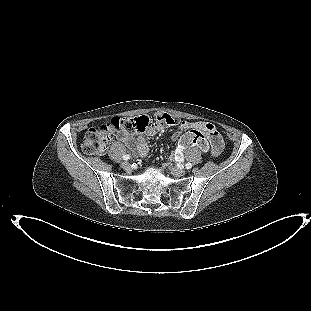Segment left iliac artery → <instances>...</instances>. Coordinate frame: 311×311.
<instances>
[{
    "label": "left iliac artery",
    "mask_w": 311,
    "mask_h": 311,
    "mask_svg": "<svg viewBox=\"0 0 311 311\" xmlns=\"http://www.w3.org/2000/svg\"><path fill=\"white\" fill-rule=\"evenodd\" d=\"M185 167H186V169H191V168H192V164L188 162V163L185 165Z\"/></svg>",
    "instance_id": "left-iliac-artery-1"
}]
</instances>
